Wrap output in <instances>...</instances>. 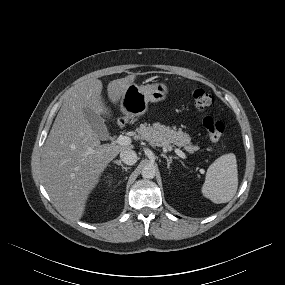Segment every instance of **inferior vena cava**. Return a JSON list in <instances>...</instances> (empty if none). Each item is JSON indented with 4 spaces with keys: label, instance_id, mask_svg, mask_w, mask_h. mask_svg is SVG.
I'll return each mask as SVG.
<instances>
[{
    "label": "inferior vena cava",
    "instance_id": "obj_1",
    "mask_svg": "<svg viewBox=\"0 0 285 285\" xmlns=\"http://www.w3.org/2000/svg\"><path fill=\"white\" fill-rule=\"evenodd\" d=\"M120 159L123 163L127 165H133L137 162L138 157L135 151L131 149H126L121 151Z\"/></svg>",
    "mask_w": 285,
    "mask_h": 285
}]
</instances>
